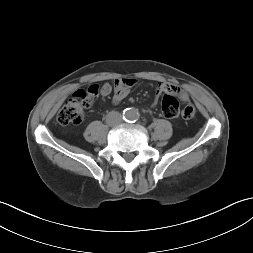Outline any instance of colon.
Wrapping results in <instances>:
<instances>
[{
	"instance_id": "colon-1",
	"label": "colon",
	"mask_w": 253,
	"mask_h": 253,
	"mask_svg": "<svg viewBox=\"0 0 253 253\" xmlns=\"http://www.w3.org/2000/svg\"><path fill=\"white\" fill-rule=\"evenodd\" d=\"M97 94L98 90L96 88L76 91L59 110L57 115L58 122L62 125L80 124L84 119V110L90 106ZM161 108L164 117L167 119L180 117V105L173 94L164 95Z\"/></svg>"
}]
</instances>
